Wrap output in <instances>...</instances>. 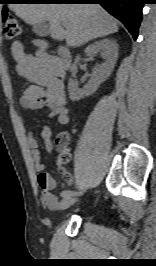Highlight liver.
<instances>
[{
  "mask_svg": "<svg viewBox=\"0 0 156 266\" xmlns=\"http://www.w3.org/2000/svg\"><path fill=\"white\" fill-rule=\"evenodd\" d=\"M27 24L49 22L51 37L79 47L90 40L118 32L117 21L97 4H11Z\"/></svg>",
  "mask_w": 156,
  "mask_h": 266,
  "instance_id": "6515ba94",
  "label": "liver"
}]
</instances>
